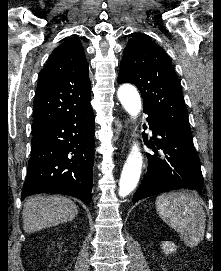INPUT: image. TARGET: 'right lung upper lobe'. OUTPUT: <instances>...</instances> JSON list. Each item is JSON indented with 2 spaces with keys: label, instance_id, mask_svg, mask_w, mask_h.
<instances>
[{
  "label": "right lung upper lobe",
  "instance_id": "cb5924a9",
  "mask_svg": "<svg viewBox=\"0 0 221 271\" xmlns=\"http://www.w3.org/2000/svg\"><path fill=\"white\" fill-rule=\"evenodd\" d=\"M88 70L78 39H67L52 52L39 74L32 130L91 108Z\"/></svg>",
  "mask_w": 221,
  "mask_h": 271
}]
</instances>
